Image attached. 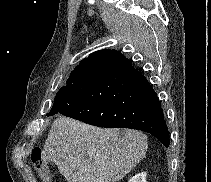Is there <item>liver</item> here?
Returning a JSON list of instances; mask_svg holds the SVG:
<instances>
[{"label": "liver", "mask_w": 211, "mask_h": 182, "mask_svg": "<svg viewBox=\"0 0 211 182\" xmlns=\"http://www.w3.org/2000/svg\"><path fill=\"white\" fill-rule=\"evenodd\" d=\"M147 136L136 130L102 129L56 119L42 158L55 163L67 182H118L145 156Z\"/></svg>", "instance_id": "obj_1"}]
</instances>
